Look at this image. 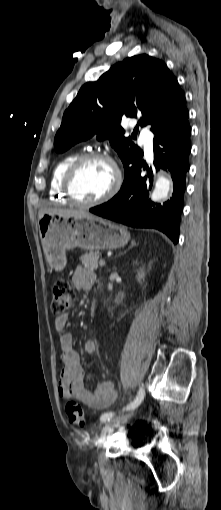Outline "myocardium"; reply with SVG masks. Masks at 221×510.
<instances>
[{
	"instance_id": "f54148a6",
	"label": "myocardium",
	"mask_w": 221,
	"mask_h": 510,
	"mask_svg": "<svg viewBox=\"0 0 221 510\" xmlns=\"http://www.w3.org/2000/svg\"><path fill=\"white\" fill-rule=\"evenodd\" d=\"M91 160H103L111 165L115 176L114 184L112 188L102 197L92 201H82L75 195L73 191V182L80 168L86 162ZM121 186H122V173L115 159L105 152H88L79 155L69 166L63 177L62 191L65 197L72 204L79 207L90 208L104 204L113 199L120 191Z\"/></svg>"
}]
</instances>
